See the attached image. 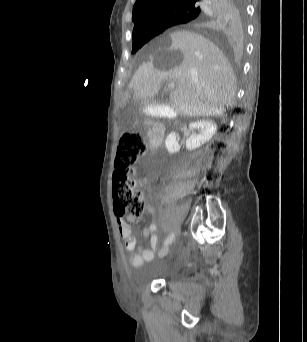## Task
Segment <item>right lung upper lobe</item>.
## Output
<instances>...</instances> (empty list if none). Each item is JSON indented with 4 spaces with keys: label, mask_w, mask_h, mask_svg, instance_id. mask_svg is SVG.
I'll return each mask as SVG.
<instances>
[{
    "label": "right lung upper lobe",
    "mask_w": 307,
    "mask_h": 342,
    "mask_svg": "<svg viewBox=\"0 0 307 342\" xmlns=\"http://www.w3.org/2000/svg\"><path fill=\"white\" fill-rule=\"evenodd\" d=\"M235 0H136L133 7V35L189 24L217 40L228 37ZM189 14L181 18L182 14Z\"/></svg>",
    "instance_id": "cb5924a9"
}]
</instances>
